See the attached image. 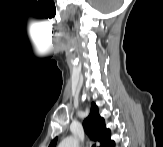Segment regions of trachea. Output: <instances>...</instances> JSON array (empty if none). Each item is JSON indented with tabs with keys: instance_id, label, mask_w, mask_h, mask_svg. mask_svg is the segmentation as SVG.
<instances>
[{
	"instance_id": "trachea-1",
	"label": "trachea",
	"mask_w": 163,
	"mask_h": 147,
	"mask_svg": "<svg viewBox=\"0 0 163 147\" xmlns=\"http://www.w3.org/2000/svg\"><path fill=\"white\" fill-rule=\"evenodd\" d=\"M92 146H93V147H95L96 145H95V144H93Z\"/></svg>"
}]
</instances>
